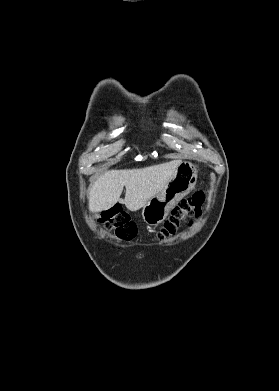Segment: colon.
<instances>
[{
  "label": "colon",
  "mask_w": 279,
  "mask_h": 391,
  "mask_svg": "<svg viewBox=\"0 0 279 391\" xmlns=\"http://www.w3.org/2000/svg\"><path fill=\"white\" fill-rule=\"evenodd\" d=\"M205 197L202 192H196L191 197L182 200L171 212L163 227L157 234L158 239H164L176 232L179 226L189 217L201 213ZM99 222L108 230L123 240H131L136 236L137 228L125 211L113 207L102 213Z\"/></svg>",
  "instance_id": "obj_1"
}]
</instances>
